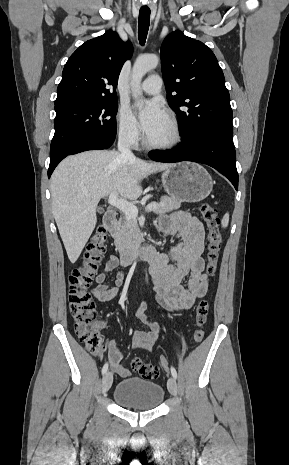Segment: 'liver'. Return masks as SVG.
I'll return each instance as SVG.
<instances>
[{
    "label": "liver",
    "instance_id": "6515ba94",
    "mask_svg": "<svg viewBox=\"0 0 289 465\" xmlns=\"http://www.w3.org/2000/svg\"><path fill=\"white\" fill-rule=\"evenodd\" d=\"M173 164L128 158L117 151L93 150L65 158L51 177L52 212L68 258L75 263L97 223L101 198L113 191L136 200L141 181Z\"/></svg>",
    "mask_w": 289,
    "mask_h": 465
}]
</instances>
